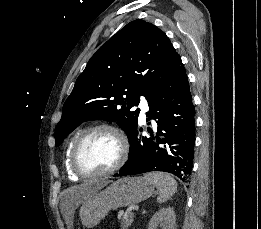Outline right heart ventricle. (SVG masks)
<instances>
[{"instance_id": "e07e8e85", "label": "right heart ventricle", "mask_w": 261, "mask_h": 229, "mask_svg": "<svg viewBox=\"0 0 261 229\" xmlns=\"http://www.w3.org/2000/svg\"><path fill=\"white\" fill-rule=\"evenodd\" d=\"M80 135V133H76L71 140L69 141L67 147H66V152H65V167L69 173V175H72L74 177H78V175L72 170V168L70 167L69 164V158H70V150H71V146L74 143V141L77 139V137Z\"/></svg>"}]
</instances>
